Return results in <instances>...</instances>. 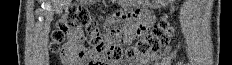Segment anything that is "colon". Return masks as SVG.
Wrapping results in <instances>:
<instances>
[{
  "label": "colon",
  "instance_id": "1",
  "mask_svg": "<svg viewBox=\"0 0 232 65\" xmlns=\"http://www.w3.org/2000/svg\"><path fill=\"white\" fill-rule=\"evenodd\" d=\"M84 30L90 38V47L81 48L77 56L86 61L87 65H105L120 61L133 62L141 57L158 52L166 45L173 33V29L166 18H162L147 37H141L136 45L123 47L118 37H104L97 20L82 6H69L61 18L56 22L52 33L51 49L61 51L63 60L64 46L61 47L67 30Z\"/></svg>",
  "mask_w": 232,
  "mask_h": 65
}]
</instances>
